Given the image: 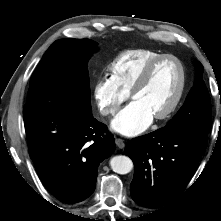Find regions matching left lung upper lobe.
<instances>
[{
	"mask_svg": "<svg viewBox=\"0 0 221 221\" xmlns=\"http://www.w3.org/2000/svg\"><path fill=\"white\" fill-rule=\"evenodd\" d=\"M195 86L187 96L184 105L164 126L163 130H200L210 132L211 104L210 97L202 78L203 66L197 65Z\"/></svg>",
	"mask_w": 221,
	"mask_h": 221,
	"instance_id": "left-lung-upper-lobe-1",
	"label": "left lung upper lobe"
}]
</instances>
